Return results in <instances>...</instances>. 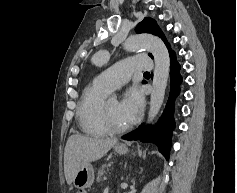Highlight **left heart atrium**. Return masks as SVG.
Returning <instances> with one entry per match:
<instances>
[{
  "instance_id": "1",
  "label": "left heart atrium",
  "mask_w": 237,
  "mask_h": 193,
  "mask_svg": "<svg viewBox=\"0 0 237 193\" xmlns=\"http://www.w3.org/2000/svg\"><path fill=\"white\" fill-rule=\"evenodd\" d=\"M120 105L127 121L129 123L135 122L141 115L144 106L141 90L136 86L130 88Z\"/></svg>"
}]
</instances>
